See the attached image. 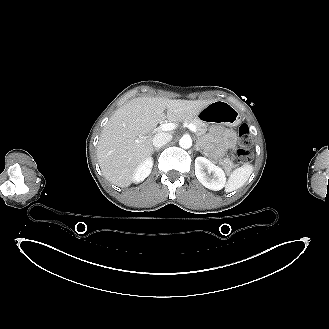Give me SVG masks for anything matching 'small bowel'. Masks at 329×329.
Wrapping results in <instances>:
<instances>
[{
	"label": "small bowel",
	"mask_w": 329,
	"mask_h": 329,
	"mask_svg": "<svg viewBox=\"0 0 329 329\" xmlns=\"http://www.w3.org/2000/svg\"><path fill=\"white\" fill-rule=\"evenodd\" d=\"M211 140L218 155H222L236 145V134L233 130L213 126L210 130Z\"/></svg>",
	"instance_id": "1"
}]
</instances>
